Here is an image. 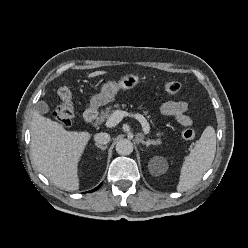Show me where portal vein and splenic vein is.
Returning a JSON list of instances; mask_svg holds the SVG:
<instances>
[{
    "instance_id": "obj_1",
    "label": "portal vein and splenic vein",
    "mask_w": 248,
    "mask_h": 248,
    "mask_svg": "<svg viewBox=\"0 0 248 248\" xmlns=\"http://www.w3.org/2000/svg\"><path fill=\"white\" fill-rule=\"evenodd\" d=\"M124 117H132L138 120L142 126L144 133L145 134L149 133L150 126L143 115L139 113L133 114V113H129V112L122 111V110H116L113 114H111V116L106 121V127L108 128L115 127L117 124H119V122L122 121Z\"/></svg>"
}]
</instances>
